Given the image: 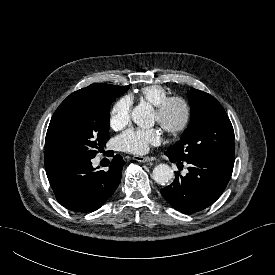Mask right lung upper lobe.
<instances>
[{
    "instance_id": "1",
    "label": "right lung upper lobe",
    "mask_w": 275,
    "mask_h": 275,
    "mask_svg": "<svg viewBox=\"0 0 275 275\" xmlns=\"http://www.w3.org/2000/svg\"><path fill=\"white\" fill-rule=\"evenodd\" d=\"M120 87H122V86H114V85H110V84H99V83L91 84L86 88H82V89L70 94L63 101V103L76 101V100L86 97V96L106 94V93H109V92L116 90Z\"/></svg>"
}]
</instances>
